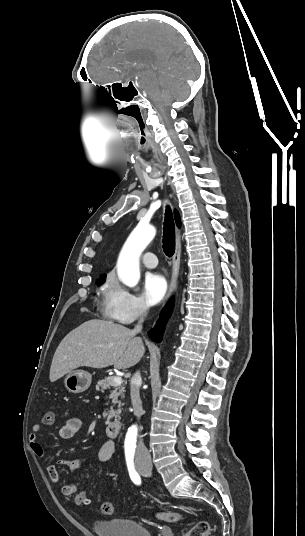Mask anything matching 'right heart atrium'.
<instances>
[{"instance_id":"1","label":"right heart atrium","mask_w":305,"mask_h":536,"mask_svg":"<svg viewBox=\"0 0 305 536\" xmlns=\"http://www.w3.org/2000/svg\"><path fill=\"white\" fill-rule=\"evenodd\" d=\"M104 312L107 317L127 325L145 316L149 312V304L128 289L111 283L105 299Z\"/></svg>"}]
</instances>
